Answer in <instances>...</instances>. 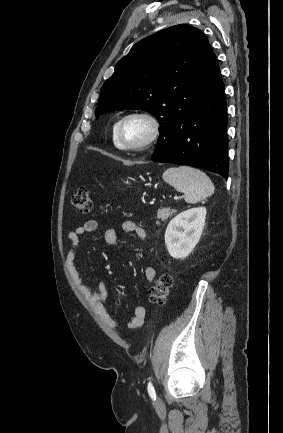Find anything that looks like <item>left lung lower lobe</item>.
I'll return each mask as SVG.
<instances>
[{
    "label": "left lung lower lobe",
    "mask_w": 283,
    "mask_h": 433,
    "mask_svg": "<svg viewBox=\"0 0 283 433\" xmlns=\"http://www.w3.org/2000/svg\"><path fill=\"white\" fill-rule=\"evenodd\" d=\"M194 101L188 112L161 127L151 159L204 168L227 179L226 96L214 53L196 78Z\"/></svg>",
    "instance_id": "1"
}]
</instances>
